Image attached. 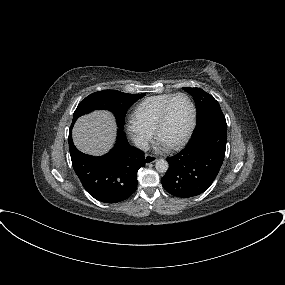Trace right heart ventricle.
<instances>
[{
    "instance_id": "obj_1",
    "label": "right heart ventricle",
    "mask_w": 285,
    "mask_h": 285,
    "mask_svg": "<svg viewBox=\"0 0 285 285\" xmlns=\"http://www.w3.org/2000/svg\"><path fill=\"white\" fill-rule=\"evenodd\" d=\"M173 95L169 93L146 98L135 107L132 117L145 127L154 130L163 106Z\"/></svg>"
}]
</instances>
